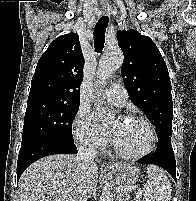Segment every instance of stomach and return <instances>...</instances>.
<instances>
[{
    "instance_id": "0dacf381",
    "label": "stomach",
    "mask_w": 196,
    "mask_h": 201,
    "mask_svg": "<svg viewBox=\"0 0 196 201\" xmlns=\"http://www.w3.org/2000/svg\"><path fill=\"white\" fill-rule=\"evenodd\" d=\"M110 171L121 186L132 187L140 179L139 171L131 165H120Z\"/></svg>"
}]
</instances>
